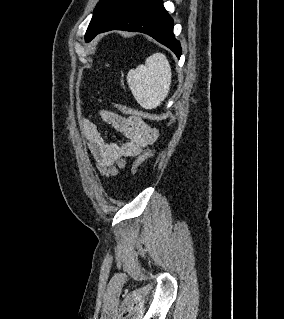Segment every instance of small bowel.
I'll use <instances>...</instances> for the list:
<instances>
[{
  "mask_svg": "<svg viewBox=\"0 0 284 319\" xmlns=\"http://www.w3.org/2000/svg\"><path fill=\"white\" fill-rule=\"evenodd\" d=\"M105 124L121 132L125 141H107L98 127L90 120L79 121L80 130L95 162L98 172L105 177H113L125 166L126 158L136 157L158 138V130L149 122L135 116L124 117L115 112L101 110Z\"/></svg>",
  "mask_w": 284,
  "mask_h": 319,
  "instance_id": "1",
  "label": "small bowel"
}]
</instances>
